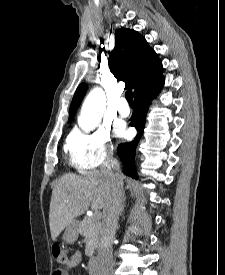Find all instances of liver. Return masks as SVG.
<instances>
[{
	"label": "liver",
	"mask_w": 225,
	"mask_h": 275,
	"mask_svg": "<svg viewBox=\"0 0 225 275\" xmlns=\"http://www.w3.org/2000/svg\"><path fill=\"white\" fill-rule=\"evenodd\" d=\"M108 177L102 170L84 176L63 175L54 185L50 201L49 224L52 240L79 215L88 210L105 208Z\"/></svg>",
	"instance_id": "obj_1"
}]
</instances>
